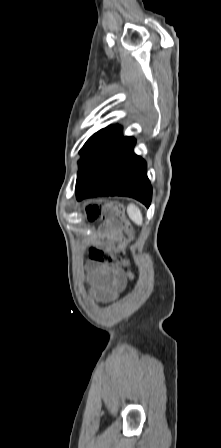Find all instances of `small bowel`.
<instances>
[{"instance_id": "obj_1", "label": "small bowel", "mask_w": 221, "mask_h": 448, "mask_svg": "<svg viewBox=\"0 0 221 448\" xmlns=\"http://www.w3.org/2000/svg\"><path fill=\"white\" fill-rule=\"evenodd\" d=\"M108 235L113 239L122 238L120 230L112 224ZM131 279V274L125 269L109 264H96L90 272L95 293L102 300L117 297L126 289Z\"/></svg>"}]
</instances>
